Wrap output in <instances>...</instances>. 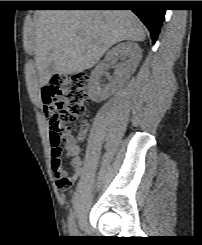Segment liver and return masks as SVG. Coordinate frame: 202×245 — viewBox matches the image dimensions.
<instances>
[{
  "instance_id": "obj_1",
  "label": "liver",
  "mask_w": 202,
  "mask_h": 245,
  "mask_svg": "<svg viewBox=\"0 0 202 245\" xmlns=\"http://www.w3.org/2000/svg\"><path fill=\"white\" fill-rule=\"evenodd\" d=\"M145 40L139 19L130 10H38L24 36L33 50L41 86L52 73L72 74L92 68L114 44ZM54 63L50 72L47 67Z\"/></svg>"
}]
</instances>
